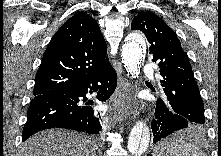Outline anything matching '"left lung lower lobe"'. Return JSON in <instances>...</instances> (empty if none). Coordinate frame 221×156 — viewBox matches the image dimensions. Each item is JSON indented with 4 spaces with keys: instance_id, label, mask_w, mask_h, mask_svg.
<instances>
[{
    "instance_id": "left-lung-lower-lobe-1",
    "label": "left lung lower lobe",
    "mask_w": 221,
    "mask_h": 156,
    "mask_svg": "<svg viewBox=\"0 0 221 156\" xmlns=\"http://www.w3.org/2000/svg\"><path fill=\"white\" fill-rule=\"evenodd\" d=\"M169 106L161 99L157 100L155 119L151 127L154 135L153 142H158L161 138L167 137L173 132L195 125L185 117L174 113Z\"/></svg>"
}]
</instances>
